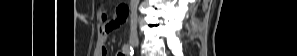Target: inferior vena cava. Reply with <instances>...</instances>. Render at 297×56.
Wrapping results in <instances>:
<instances>
[{"label":"inferior vena cava","mask_w":297,"mask_h":56,"mask_svg":"<svg viewBox=\"0 0 297 56\" xmlns=\"http://www.w3.org/2000/svg\"><path fill=\"white\" fill-rule=\"evenodd\" d=\"M139 0H131V16H130V24L131 29L136 30L137 27V6Z\"/></svg>","instance_id":"602c4592"}]
</instances>
